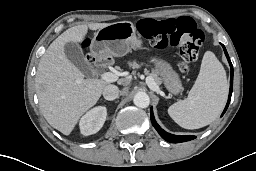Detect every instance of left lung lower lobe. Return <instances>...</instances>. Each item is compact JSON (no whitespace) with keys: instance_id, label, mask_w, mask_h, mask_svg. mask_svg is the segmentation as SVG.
Wrapping results in <instances>:
<instances>
[{"instance_id":"obj_1","label":"left lung lower lobe","mask_w":256,"mask_h":171,"mask_svg":"<svg viewBox=\"0 0 256 171\" xmlns=\"http://www.w3.org/2000/svg\"><path fill=\"white\" fill-rule=\"evenodd\" d=\"M223 49H224V52H225V55L228 59V62H229V65H230V68H231V78H230V91H229V97H228V102L226 104V107L222 113V116L223 114L226 112L228 106H229V103H230V99H231V95H232V90H233V66H232V63L230 61V58L228 56V53L224 47V45H222ZM150 117H151V122L154 126V128L157 130V132L160 134V136L165 139L166 141L168 142H172V143H179V142H186V141H189V140H193L195 139L196 137L195 136H189V135H173V134H170L166 131H164L158 124L157 122L155 121V118H154V115H153V111H152V108L150 110Z\"/></svg>"}]
</instances>
